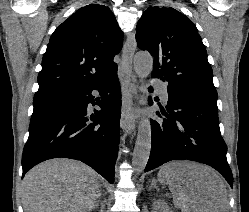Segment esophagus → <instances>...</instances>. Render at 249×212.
I'll return each mask as SVG.
<instances>
[{"label":"esophagus","mask_w":249,"mask_h":212,"mask_svg":"<svg viewBox=\"0 0 249 212\" xmlns=\"http://www.w3.org/2000/svg\"><path fill=\"white\" fill-rule=\"evenodd\" d=\"M137 48L135 33L127 34L126 41L122 51V69H121V88H122V110H121V128L126 133H133L135 130V121L133 118V91L135 88V79L132 75V60Z\"/></svg>","instance_id":"1"}]
</instances>
